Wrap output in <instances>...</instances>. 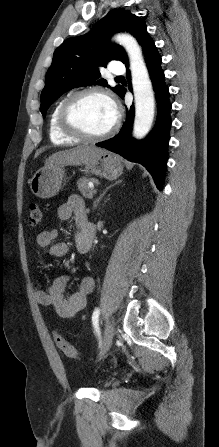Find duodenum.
<instances>
[{
  "label": "duodenum",
  "mask_w": 219,
  "mask_h": 447,
  "mask_svg": "<svg viewBox=\"0 0 219 447\" xmlns=\"http://www.w3.org/2000/svg\"><path fill=\"white\" fill-rule=\"evenodd\" d=\"M82 235H83V243L81 245V252L87 253L89 252L95 237V226L88 220L86 216L82 222Z\"/></svg>",
  "instance_id": "obj_1"
}]
</instances>
